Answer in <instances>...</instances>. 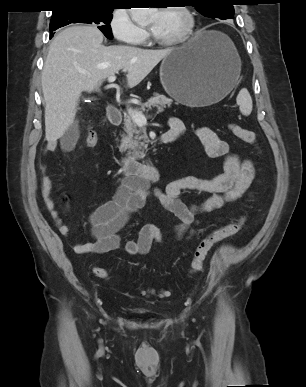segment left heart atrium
Masks as SVG:
<instances>
[{
	"mask_svg": "<svg viewBox=\"0 0 306 387\" xmlns=\"http://www.w3.org/2000/svg\"><path fill=\"white\" fill-rule=\"evenodd\" d=\"M151 29H152V31H155L156 25H153V26L151 27Z\"/></svg>",
	"mask_w": 306,
	"mask_h": 387,
	"instance_id": "obj_1",
	"label": "left heart atrium"
}]
</instances>
